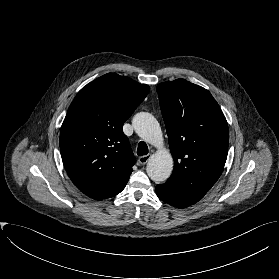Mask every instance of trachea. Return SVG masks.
<instances>
[{"mask_svg":"<svg viewBox=\"0 0 279 279\" xmlns=\"http://www.w3.org/2000/svg\"><path fill=\"white\" fill-rule=\"evenodd\" d=\"M137 154L139 156H144V155L148 154V147L145 142H143V141L139 142L138 148H137Z\"/></svg>","mask_w":279,"mask_h":279,"instance_id":"1","label":"trachea"}]
</instances>
